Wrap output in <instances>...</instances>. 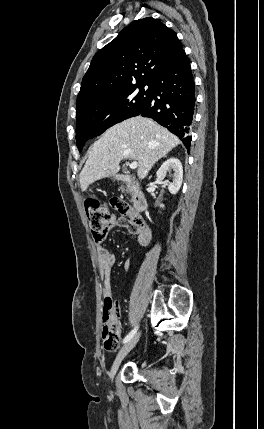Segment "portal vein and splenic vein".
<instances>
[{
	"instance_id": "18ae733b",
	"label": "portal vein and splenic vein",
	"mask_w": 264,
	"mask_h": 429,
	"mask_svg": "<svg viewBox=\"0 0 264 429\" xmlns=\"http://www.w3.org/2000/svg\"><path fill=\"white\" fill-rule=\"evenodd\" d=\"M129 167H130L131 169H136V168L138 167V163H137L136 161H132V162L129 164Z\"/></svg>"
}]
</instances>
